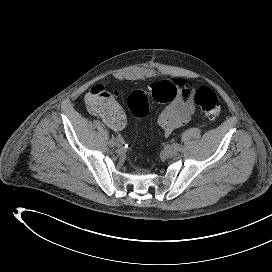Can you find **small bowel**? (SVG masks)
<instances>
[{
	"instance_id": "obj_1",
	"label": "small bowel",
	"mask_w": 272,
	"mask_h": 272,
	"mask_svg": "<svg viewBox=\"0 0 272 272\" xmlns=\"http://www.w3.org/2000/svg\"><path fill=\"white\" fill-rule=\"evenodd\" d=\"M173 81L178 87L190 86V83L182 78H174ZM100 117L115 131L122 130L126 124L125 114L114 98L109 112ZM195 117V107L192 101L178 95L160 114L157 122L164 134L170 135L175 129L187 124Z\"/></svg>"
}]
</instances>
